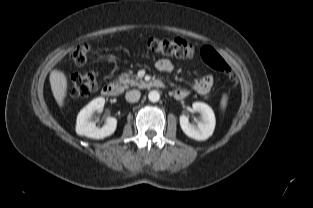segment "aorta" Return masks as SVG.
Wrapping results in <instances>:
<instances>
[{
    "label": "aorta",
    "mask_w": 313,
    "mask_h": 208,
    "mask_svg": "<svg viewBox=\"0 0 313 208\" xmlns=\"http://www.w3.org/2000/svg\"><path fill=\"white\" fill-rule=\"evenodd\" d=\"M148 99L151 101V102H158L159 99H160V94L158 91L156 90H152L149 92L148 94Z\"/></svg>",
    "instance_id": "1"
}]
</instances>
